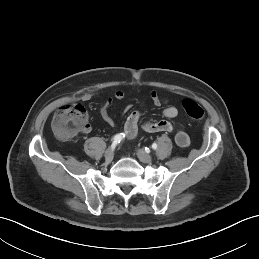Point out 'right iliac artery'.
<instances>
[{
  "instance_id": "obj_1",
  "label": "right iliac artery",
  "mask_w": 259,
  "mask_h": 259,
  "mask_svg": "<svg viewBox=\"0 0 259 259\" xmlns=\"http://www.w3.org/2000/svg\"><path fill=\"white\" fill-rule=\"evenodd\" d=\"M124 138V134L123 133H120V134H117L113 137V143L112 145L115 146L116 144L120 143Z\"/></svg>"
}]
</instances>
